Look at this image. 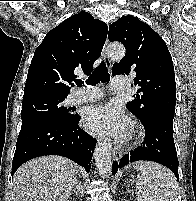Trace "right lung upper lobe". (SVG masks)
<instances>
[{"label": "right lung upper lobe", "mask_w": 196, "mask_h": 201, "mask_svg": "<svg viewBox=\"0 0 196 201\" xmlns=\"http://www.w3.org/2000/svg\"><path fill=\"white\" fill-rule=\"evenodd\" d=\"M107 33L108 26L85 11L49 31L34 52L23 98L40 94L67 96L77 72H92Z\"/></svg>", "instance_id": "obj_1"}]
</instances>
